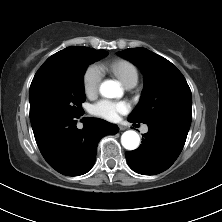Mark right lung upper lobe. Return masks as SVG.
Instances as JSON below:
<instances>
[{"label":"right lung upper lobe","instance_id":"right-lung-upper-lobe-1","mask_svg":"<svg viewBox=\"0 0 222 222\" xmlns=\"http://www.w3.org/2000/svg\"><path fill=\"white\" fill-rule=\"evenodd\" d=\"M72 47H77V46H72ZM72 47H68V48L63 49V50H61V51H59V52H64V51H67L68 49H70V48H72Z\"/></svg>","mask_w":222,"mask_h":222}]
</instances>
